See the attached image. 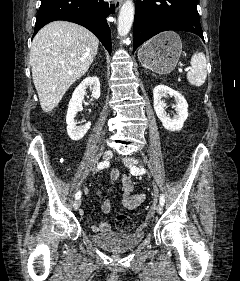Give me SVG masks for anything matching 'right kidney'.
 <instances>
[{"label": "right kidney", "mask_w": 240, "mask_h": 281, "mask_svg": "<svg viewBox=\"0 0 240 281\" xmlns=\"http://www.w3.org/2000/svg\"><path fill=\"white\" fill-rule=\"evenodd\" d=\"M87 87H90L92 90L91 96L94 99H98L100 97L99 78L95 76L85 78L72 94V98L68 105L66 124L67 133L69 137L74 141L82 139L91 126V122L89 121L82 126H77V123L74 120L76 114L83 109L82 102L84 100Z\"/></svg>", "instance_id": "right-kidney-1"}]
</instances>
